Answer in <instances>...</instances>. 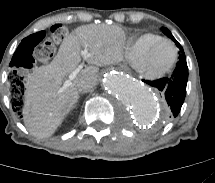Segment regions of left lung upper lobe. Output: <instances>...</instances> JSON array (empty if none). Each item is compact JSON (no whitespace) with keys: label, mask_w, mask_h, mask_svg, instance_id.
<instances>
[{"label":"left lung upper lobe","mask_w":215,"mask_h":183,"mask_svg":"<svg viewBox=\"0 0 215 183\" xmlns=\"http://www.w3.org/2000/svg\"><path fill=\"white\" fill-rule=\"evenodd\" d=\"M161 30H162V32H163L166 36H168L170 39H172V40L176 43L177 47L180 49V53H179L180 56H179V59L184 58V57H185V54H184L183 48H182L181 45L175 40V38L172 36L171 32H170L167 28H161Z\"/></svg>","instance_id":"1"}]
</instances>
